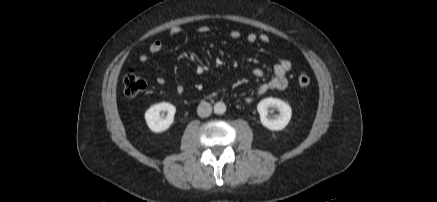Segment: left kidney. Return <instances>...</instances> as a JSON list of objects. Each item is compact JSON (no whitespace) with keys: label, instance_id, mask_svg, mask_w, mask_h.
Segmentation results:
<instances>
[{"label":"left kidney","instance_id":"5707ae66","mask_svg":"<svg viewBox=\"0 0 437 202\" xmlns=\"http://www.w3.org/2000/svg\"><path fill=\"white\" fill-rule=\"evenodd\" d=\"M269 109H277L278 115H269ZM262 125L269 130H283L289 123L292 115L289 104L277 98H265L257 105Z\"/></svg>","mask_w":437,"mask_h":202}]
</instances>
